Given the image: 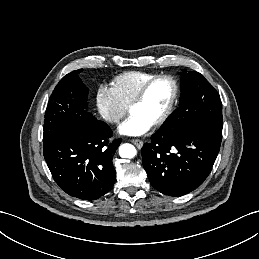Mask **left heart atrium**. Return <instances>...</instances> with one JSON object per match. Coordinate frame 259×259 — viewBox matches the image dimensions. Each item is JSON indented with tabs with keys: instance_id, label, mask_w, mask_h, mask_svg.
I'll list each match as a JSON object with an SVG mask.
<instances>
[{
	"instance_id": "obj_1",
	"label": "left heart atrium",
	"mask_w": 259,
	"mask_h": 259,
	"mask_svg": "<svg viewBox=\"0 0 259 259\" xmlns=\"http://www.w3.org/2000/svg\"><path fill=\"white\" fill-rule=\"evenodd\" d=\"M152 124L142 119L137 114H131L120 126L119 132L128 136H139L146 133Z\"/></svg>"
}]
</instances>
